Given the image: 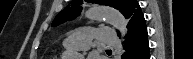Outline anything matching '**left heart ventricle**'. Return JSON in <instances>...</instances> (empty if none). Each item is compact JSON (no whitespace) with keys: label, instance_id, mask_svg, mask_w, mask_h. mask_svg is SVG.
<instances>
[{"label":"left heart ventricle","instance_id":"left-heart-ventricle-1","mask_svg":"<svg viewBox=\"0 0 193 59\" xmlns=\"http://www.w3.org/2000/svg\"><path fill=\"white\" fill-rule=\"evenodd\" d=\"M74 52L80 53L81 59H83V56L87 52V49H75Z\"/></svg>","mask_w":193,"mask_h":59}]
</instances>
